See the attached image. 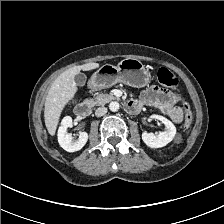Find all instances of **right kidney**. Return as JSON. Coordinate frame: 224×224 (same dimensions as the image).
I'll use <instances>...</instances> for the list:
<instances>
[{"mask_svg":"<svg viewBox=\"0 0 224 224\" xmlns=\"http://www.w3.org/2000/svg\"><path fill=\"white\" fill-rule=\"evenodd\" d=\"M72 127V118L70 116H65L62 119L61 126L58 129V142L60 146L68 151L75 152L83 148L88 140V134L86 132H81L77 141H74L71 134L67 133V129Z\"/></svg>","mask_w":224,"mask_h":224,"instance_id":"obj_1","label":"right kidney"}]
</instances>
